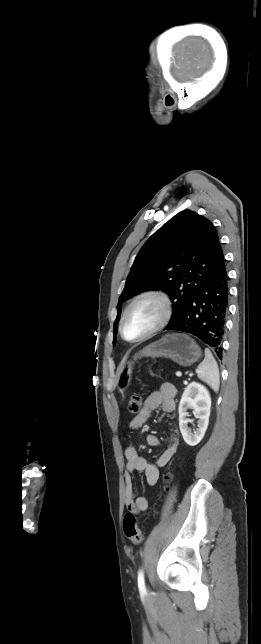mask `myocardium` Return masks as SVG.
Masks as SVG:
<instances>
[{"label": "myocardium", "instance_id": "f54148a6", "mask_svg": "<svg viewBox=\"0 0 261 644\" xmlns=\"http://www.w3.org/2000/svg\"><path fill=\"white\" fill-rule=\"evenodd\" d=\"M147 298L155 299L160 303V305L162 307L161 317H160L159 321L157 322V324L152 329H150L147 333H145L144 335H142L141 337H139L137 339H128L125 336V323H126L127 316L129 314L130 310L132 309V307L136 303H138L139 301H141L143 299H147ZM172 316H173V302H172V299H171L170 295L166 291H164L162 289H157V288H151V289L144 290V291L138 293L135 297H133V299L126 306V308H125V310H124V312L122 314L121 320H120V325H119L120 334H121L122 338L125 341L129 342V343L143 342V341L149 339L150 337H152L153 335H155L156 333H158L159 331H161L164 327H166L168 325V323L170 322Z\"/></svg>", "mask_w": 261, "mask_h": 644}]
</instances>
